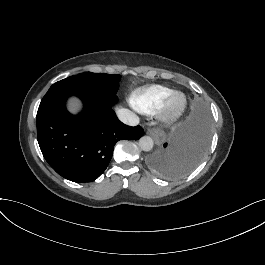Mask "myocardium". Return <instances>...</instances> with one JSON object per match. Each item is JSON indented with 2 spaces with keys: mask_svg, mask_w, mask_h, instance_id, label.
Returning <instances> with one entry per match:
<instances>
[{
  "mask_svg": "<svg viewBox=\"0 0 265 265\" xmlns=\"http://www.w3.org/2000/svg\"><path fill=\"white\" fill-rule=\"evenodd\" d=\"M181 96V94L172 95L168 101L162 114V119L164 122L172 123L183 114L186 108V99L183 98L182 100H179V97Z\"/></svg>",
  "mask_w": 265,
  "mask_h": 265,
  "instance_id": "1",
  "label": "myocardium"
}]
</instances>
